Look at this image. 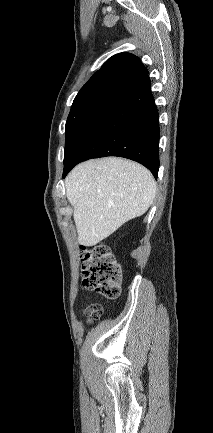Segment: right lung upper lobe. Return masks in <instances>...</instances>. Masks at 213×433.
<instances>
[{
  "instance_id": "1",
  "label": "right lung upper lobe",
  "mask_w": 213,
  "mask_h": 433,
  "mask_svg": "<svg viewBox=\"0 0 213 433\" xmlns=\"http://www.w3.org/2000/svg\"><path fill=\"white\" fill-rule=\"evenodd\" d=\"M148 75L140 59L130 53H119L108 59L78 92L75 100L103 93L122 91Z\"/></svg>"
}]
</instances>
